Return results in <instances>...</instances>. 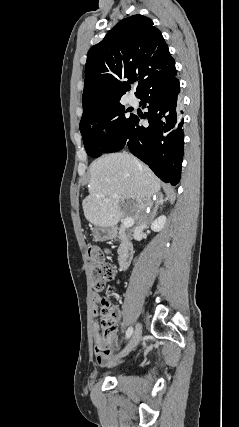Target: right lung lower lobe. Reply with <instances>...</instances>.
Listing matches in <instances>:
<instances>
[{
    "instance_id": "1",
    "label": "right lung lower lobe",
    "mask_w": 239,
    "mask_h": 427,
    "mask_svg": "<svg viewBox=\"0 0 239 427\" xmlns=\"http://www.w3.org/2000/svg\"><path fill=\"white\" fill-rule=\"evenodd\" d=\"M176 74L177 71L137 96L142 108L148 109L145 116L149 126L140 125L139 117L134 115L123 145L171 185L180 180L184 154V116Z\"/></svg>"
}]
</instances>
